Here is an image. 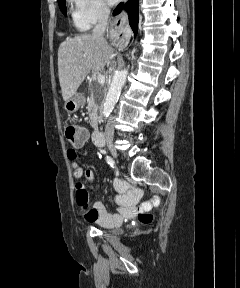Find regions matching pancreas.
<instances>
[{"instance_id": "pancreas-1", "label": "pancreas", "mask_w": 240, "mask_h": 288, "mask_svg": "<svg viewBox=\"0 0 240 288\" xmlns=\"http://www.w3.org/2000/svg\"><path fill=\"white\" fill-rule=\"evenodd\" d=\"M95 92H100L105 94L106 93V87L104 85H100L98 82H94V90L91 93V96L88 98V111L90 119H93L97 115L98 105L95 102Z\"/></svg>"}]
</instances>
